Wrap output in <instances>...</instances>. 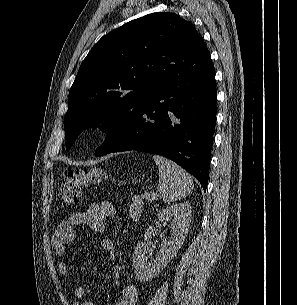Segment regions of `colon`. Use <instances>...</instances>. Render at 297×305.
I'll return each mask as SVG.
<instances>
[{
    "mask_svg": "<svg viewBox=\"0 0 297 305\" xmlns=\"http://www.w3.org/2000/svg\"><path fill=\"white\" fill-rule=\"evenodd\" d=\"M104 178L105 173L102 168L68 170L60 187L62 204L66 207L77 206L82 199V188L101 183Z\"/></svg>",
    "mask_w": 297,
    "mask_h": 305,
    "instance_id": "colon-1",
    "label": "colon"
}]
</instances>
